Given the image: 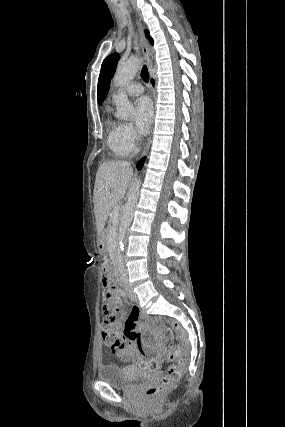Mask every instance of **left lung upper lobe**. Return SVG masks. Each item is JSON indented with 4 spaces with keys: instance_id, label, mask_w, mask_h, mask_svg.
I'll return each mask as SVG.
<instances>
[{
    "instance_id": "5c2ea615",
    "label": "left lung upper lobe",
    "mask_w": 285,
    "mask_h": 427,
    "mask_svg": "<svg viewBox=\"0 0 285 427\" xmlns=\"http://www.w3.org/2000/svg\"><path fill=\"white\" fill-rule=\"evenodd\" d=\"M148 39L151 44H153L152 38L149 36V32L147 31ZM120 59V55L118 53H113L109 55L102 63L101 71L98 79V87H97V96H98V103L101 104L103 100L105 99L109 86H110V80L115 73L116 66L118 63V60Z\"/></svg>"
}]
</instances>
